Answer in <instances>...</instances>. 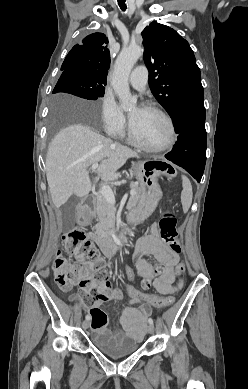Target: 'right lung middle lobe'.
<instances>
[{
  "mask_svg": "<svg viewBox=\"0 0 248 389\" xmlns=\"http://www.w3.org/2000/svg\"><path fill=\"white\" fill-rule=\"evenodd\" d=\"M105 85L106 79L96 78L86 71L67 69L63 71L53 93L65 92L87 100H96L104 96ZM85 113L91 116L94 112L88 108Z\"/></svg>",
  "mask_w": 248,
  "mask_h": 389,
  "instance_id": "dd1d6c3e",
  "label": "right lung middle lobe"
}]
</instances>
